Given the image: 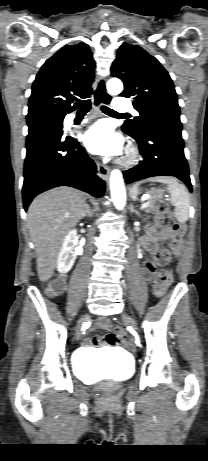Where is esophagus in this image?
<instances>
[{"label": "esophagus", "mask_w": 208, "mask_h": 461, "mask_svg": "<svg viewBox=\"0 0 208 461\" xmlns=\"http://www.w3.org/2000/svg\"><path fill=\"white\" fill-rule=\"evenodd\" d=\"M104 83V87H105V83H106V79L102 78L101 79ZM106 93L108 94V92L106 91ZM111 99V97H110ZM103 102H97L96 101V98H95V101H94V107L95 109H99L100 105L102 104ZM109 173H110V169L108 166H105V165H99L98 166V175L104 179V180H107L108 177H109Z\"/></svg>", "instance_id": "1"}]
</instances>
